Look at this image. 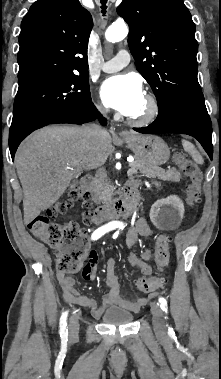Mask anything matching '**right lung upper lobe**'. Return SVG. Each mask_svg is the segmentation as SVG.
Returning a JSON list of instances; mask_svg holds the SVG:
<instances>
[{
  "mask_svg": "<svg viewBox=\"0 0 221 379\" xmlns=\"http://www.w3.org/2000/svg\"><path fill=\"white\" fill-rule=\"evenodd\" d=\"M93 26L79 0H38L22 20L19 83L64 73L88 72L87 47Z\"/></svg>",
  "mask_w": 221,
  "mask_h": 379,
  "instance_id": "obj_1",
  "label": "right lung upper lobe"
}]
</instances>
